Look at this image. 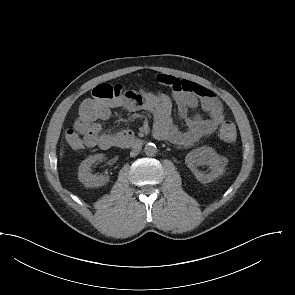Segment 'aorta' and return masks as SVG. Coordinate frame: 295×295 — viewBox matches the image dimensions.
Returning a JSON list of instances; mask_svg holds the SVG:
<instances>
[{"mask_svg":"<svg viewBox=\"0 0 295 295\" xmlns=\"http://www.w3.org/2000/svg\"><path fill=\"white\" fill-rule=\"evenodd\" d=\"M144 152L147 156H154L157 153V147L153 143H148L145 145Z\"/></svg>","mask_w":295,"mask_h":295,"instance_id":"obj_1","label":"aorta"}]
</instances>
